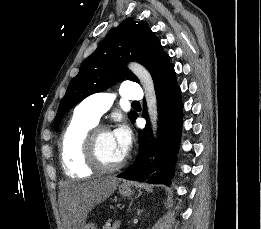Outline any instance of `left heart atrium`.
Masks as SVG:
<instances>
[{
	"instance_id": "39dd6f15",
	"label": "left heart atrium",
	"mask_w": 261,
	"mask_h": 229,
	"mask_svg": "<svg viewBox=\"0 0 261 229\" xmlns=\"http://www.w3.org/2000/svg\"><path fill=\"white\" fill-rule=\"evenodd\" d=\"M111 133L120 154L124 158L129 153L133 141L130 127L126 124H121Z\"/></svg>"
}]
</instances>
